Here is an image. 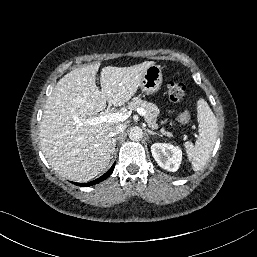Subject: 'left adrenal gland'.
I'll use <instances>...</instances> for the list:
<instances>
[{"label": "left adrenal gland", "mask_w": 257, "mask_h": 257, "mask_svg": "<svg viewBox=\"0 0 257 257\" xmlns=\"http://www.w3.org/2000/svg\"><path fill=\"white\" fill-rule=\"evenodd\" d=\"M147 132H148L150 135H159V136H161L159 133L153 132V131H151L150 129H147Z\"/></svg>", "instance_id": "obj_1"}]
</instances>
